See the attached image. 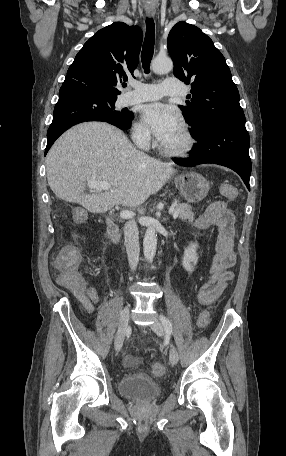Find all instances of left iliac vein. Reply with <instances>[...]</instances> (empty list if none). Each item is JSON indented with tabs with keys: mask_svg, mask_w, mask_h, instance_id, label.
Segmentation results:
<instances>
[{
	"mask_svg": "<svg viewBox=\"0 0 286 456\" xmlns=\"http://www.w3.org/2000/svg\"><path fill=\"white\" fill-rule=\"evenodd\" d=\"M151 329L158 336H163L164 335V328H163L162 324L158 320H156L151 325ZM169 359H170L171 364H173V365H175L178 362V359H179L178 351H177L176 347L173 346V345L171 346V349H170Z\"/></svg>",
	"mask_w": 286,
	"mask_h": 456,
	"instance_id": "left-iliac-vein-1",
	"label": "left iliac vein"
}]
</instances>
